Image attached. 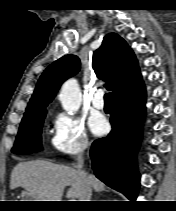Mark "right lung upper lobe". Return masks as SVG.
Listing matches in <instances>:
<instances>
[{
    "instance_id": "cb5924a9",
    "label": "right lung upper lobe",
    "mask_w": 176,
    "mask_h": 211,
    "mask_svg": "<svg viewBox=\"0 0 176 211\" xmlns=\"http://www.w3.org/2000/svg\"><path fill=\"white\" fill-rule=\"evenodd\" d=\"M93 69L98 78L107 82L114 99L132 94L143 85L142 76L132 49L116 33L107 34L93 54ZM80 69L76 55H65L52 63L41 75L23 118L46 111L60 85Z\"/></svg>"
}]
</instances>
